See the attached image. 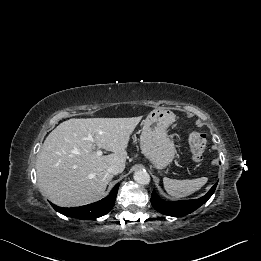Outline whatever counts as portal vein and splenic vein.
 Masks as SVG:
<instances>
[{
    "label": "portal vein and splenic vein",
    "instance_id": "obj_1",
    "mask_svg": "<svg viewBox=\"0 0 261 261\" xmlns=\"http://www.w3.org/2000/svg\"><path fill=\"white\" fill-rule=\"evenodd\" d=\"M87 140H89V141H91V142H95V139L93 138V136H92L91 134H89V135L87 136ZM97 155H98V156H101V155H102V151H101V150H98V151H97Z\"/></svg>",
    "mask_w": 261,
    "mask_h": 261
}]
</instances>
